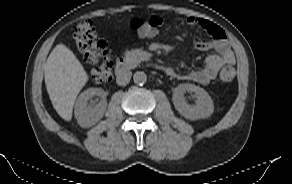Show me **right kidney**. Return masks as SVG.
I'll return each mask as SVG.
<instances>
[{
  "label": "right kidney",
  "mask_w": 292,
  "mask_h": 184,
  "mask_svg": "<svg viewBox=\"0 0 292 184\" xmlns=\"http://www.w3.org/2000/svg\"><path fill=\"white\" fill-rule=\"evenodd\" d=\"M104 91L99 88H89L82 92L75 104V117L78 124L83 128L93 126L104 115L107 107L105 100L100 101L96 105H88V100L93 96H103Z\"/></svg>",
  "instance_id": "right-kidney-1"
}]
</instances>
